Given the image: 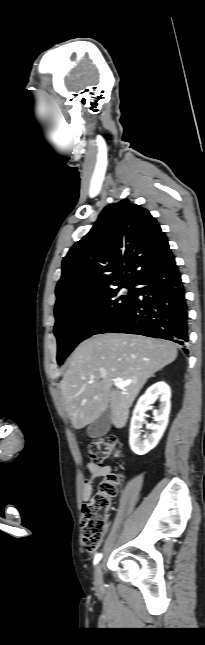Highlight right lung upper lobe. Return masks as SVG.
Returning a JSON list of instances; mask_svg holds the SVG:
<instances>
[{"mask_svg": "<svg viewBox=\"0 0 205 645\" xmlns=\"http://www.w3.org/2000/svg\"><path fill=\"white\" fill-rule=\"evenodd\" d=\"M173 257L165 233L149 211L127 199L110 204L64 257L54 312L84 296L132 285Z\"/></svg>", "mask_w": 205, "mask_h": 645, "instance_id": "1", "label": "right lung upper lobe"}]
</instances>
